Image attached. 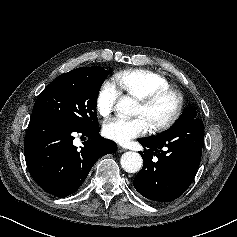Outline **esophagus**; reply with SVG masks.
Returning <instances> with one entry per match:
<instances>
[{
    "instance_id": "34e87169",
    "label": "esophagus",
    "mask_w": 237,
    "mask_h": 237,
    "mask_svg": "<svg viewBox=\"0 0 237 237\" xmlns=\"http://www.w3.org/2000/svg\"><path fill=\"white\" fill-rule=\"evenodd\" d=\"M118 152H125L126 149L120 145H118V148H117Z\"/></svg>"
}]
</instances>
